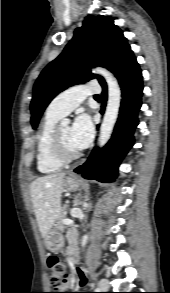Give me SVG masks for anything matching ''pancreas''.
Returning a JSON list of instances; mask_svg holds the SVG:
<instances>
[{
  "label": "pancreas",
  "instance_id": "obj_1",
  "mask_svg": "<svg viewBox=\"0 0 170 293\" xmlns=\"http://www.w3.org/2000/svg\"><path fill=\"white\" fill-rule=\"evenodd\" d=\"M67 212L64 208H62L57 216L55 228L61 232H63L66 228L65 224H63V220L66 219Z\"/></svg>",
  "mask_w": 170,
  "mask_h": 293
}]
</instances>
